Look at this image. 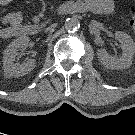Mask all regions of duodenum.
<instances>
[{
	"mask_svg": "<svg viewBox=\"0 0 135 135\" xmlns=\"http://www.w3.org/2000/svg\"><path fill=\"white\" fill-rule=\"evenodd\" d=\"M23 30H24V33H26V34H31V32H32V28H30V27H26Z\"/></svg>",
	"mask_w": 135,
	"mask_h": 135,
	"instance_id": "1",
	"label": "duodenum"
}]
</instances>
